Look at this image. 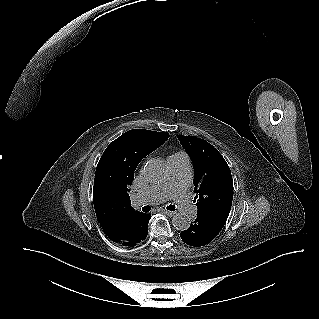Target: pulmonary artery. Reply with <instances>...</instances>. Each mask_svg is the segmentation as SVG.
I'll return each mask as SVG.
<instances>
[{
	"mask_svg": "<svg viewBox=\"0 0 319 319\" xmlns=\"http://www.w3.org/2000/svg\"><path fill=\"white\" fill-rule=\"evenodd\" d=\"M169 176L159 185L149 186L132 198L135 207L157 204L173 198L179 209L185 214H192L195 206L186 195L190 182V164L186 155L170 156L167 159Z\"/></svg>",
	"mask_w": 319,
	"mask_h": 319,
	"instance_id": "pulmonary-artery-1",
	"label": "pulmonary artery"
}]
</instances>
